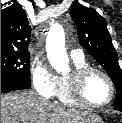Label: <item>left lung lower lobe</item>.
Returning <instances> with one entry per match:
<instances>
[{"mask_svg":"<svg viewBox=\"0 0 122 123\" xmlns=\"http://www.w3.org/2000/svg\"><path fill=\"white\" fill-rule=\"evenodd\" d=\"M117 110L122 111V107H115Z\"/></svg>","mask_w":122,"mask_h":123,"instance_id":"0a47b994","label":"left lung lower lobe"}]
</instances>
